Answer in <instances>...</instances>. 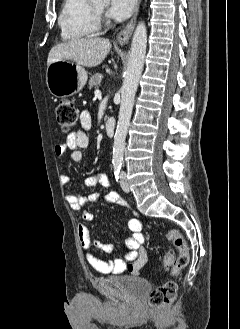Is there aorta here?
Wrapping results in <instances>:
<instances>
[{
    "mask_svg": "<svg viewBox=\"0 0 240 329\" xmlns=\"http://www.w3.org/2000/svg\"><path fill=\"white\" fill-rule=\"evenodd\" d=\"M98 5H108L110 0H91ZM147 48V30L144 22H140L134 32L131 49L121 87V104L119 110L118 124L113 144V164L120 166L123 161L125 140L130 123L134 98L142 74Z\"/></svg>",
    "mask_w": 240,
    "mask_h": 329,
    "instance_id": "obj_1",
    "label": "aorta"
}]
</instances>
